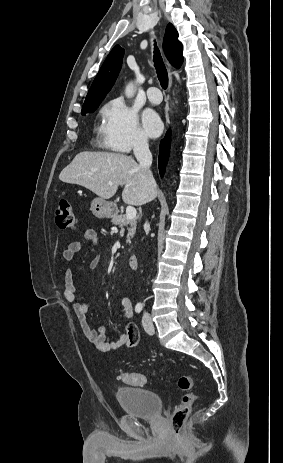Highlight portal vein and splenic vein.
Here are the masks:
<instances>
[{
  "mask_svg": "<svg viewBox=\"0 0 283 463\" xmlns=\"http://www.w3.org/2000/svg\"><path fill=\"white\" fill-rule=\"evenodd\" d=\"M112 182H108V185H112ZM137 211L133 206H127L126 216L128 219H134L136 217Z\"/></svg>",
  "mask_w": 283,
  "mask_h": 463,
  "instance_id": "portal-vein-and-splenic-vein-1",
  "label": "portal vein and splenic vein"
}]
</instances>
